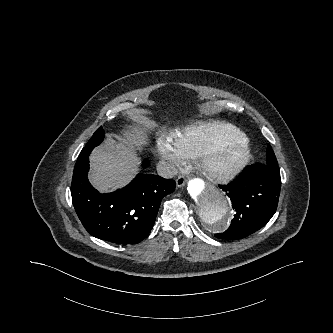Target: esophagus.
Returning a JSON list of instances; mask_svg holds the SVG:
<instances>
[{
    "label": "esophagus",
    "mask_w": 333,
    "mask_h": 333,
    "mask_svg": "<svg viewBox=\"0 0 333 333\" xmlns=\"http://www.w3.org/2000/svg\"><path fill=\"white\" fill-rule=\"evenodd\" d=\"M186 184V179L184 176L180 175L176 180L177 187H183Z\"/></svg>",
    "instance_id": "34e87169"
}]
</instances>
